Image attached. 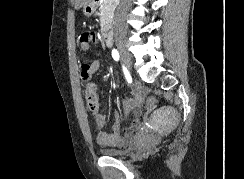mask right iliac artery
Returning a JSON list of instances; mask_svg holds the SVG:
<instances>
[{
    "label": "right iliac artery",
    "mask_w": 244,
    "mask_h": 179,
    "mask_svg": "<svg viewBox=\"0 0 244 179\" xmlns=\"http://www.w3.org/2000/svg\"><path fill=\"white\" fill-rule=\"evenodd\" d=\"M112 57H113V59L114 60H116V61H118L119 60V53H118V51L116 50V49H113L112 50ZM126 71H127V69H126ZM128 72V71H127Z\"/></svg>",
    "instance_id": "obj_1"
}]
</instances>
